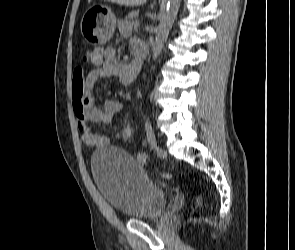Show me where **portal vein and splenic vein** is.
<instances>
[{
    "label": "portal vein and splenic vein",
    "mask_w": 295,
    "mask_h": 250,
    "mask_svg": "<svg viewBox=\"0 0 295 250\" xmlns=\"http://www.w3.org/2000/svg\"><path fill=\"white\" fill-rule=\"evenodd\" d=\"M134 26L136 27L140 26V21H135Z\"/></svg>",
    "instance_id": "1"
}]
</instances>
